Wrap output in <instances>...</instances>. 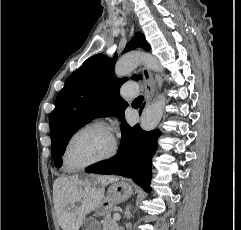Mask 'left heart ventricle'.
<instances>
[{
	"mask_svg": "<svg viewBox=\"0 0 241 230\" xmlns=\"http://www.w3.org/2000/svg\"><path fill=\"white\" fill-rule=\"evenodd\" d=\"M110 132L101 128H91L78 134L72 141L68 161L72 166H79L106 155L112 148Z\"/></svg>",
	"mask_w": 241,
	"mask_h": 230,
	"instance_id": "obj_1",
	"label": "left heart ventricle"
}]
</instances>
